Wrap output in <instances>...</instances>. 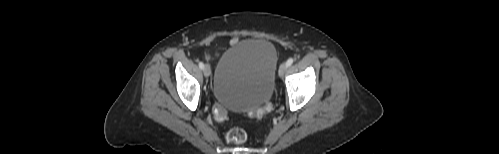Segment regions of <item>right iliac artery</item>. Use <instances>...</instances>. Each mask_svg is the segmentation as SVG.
Here are the masks:
<instances>
[{
    "mask_svg": "<svg viewBox=\"0 0 499 154\" xmlns=\"http://www.w3.org/2000/svg\"><path fill=\"white\" fill-rule=\"evenodd\" d=\"M199 67H200L201 69H204V64H203L202 62H199Z\"/></svg>",
    "mask_w": 499,
    "mask_h": 154,
    "instance_id": "82829eb1",
    "label": "right iliac artery"
}]
</instances>
